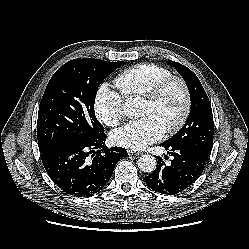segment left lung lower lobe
<instances>
[{"label": "left lung lower lobe", "mask_w": 249, "mask_h": 249, "mask_svg": "<svg viewBox=\"0 0 249 249\" xmlns=\"http://www.w3.org/2000/svg\"><path fill=\"white\" fill-rule=\"evenodd\" d=\"M160 146L172 156L171 164L166 166L162 158L158 157L157 168L145 177V182L155 192L166 195L178 194L195 182L204 170L209 156L188 146L166 142Z\"/></svg>", "instance_id": "0a47b994"}]
</instances>
